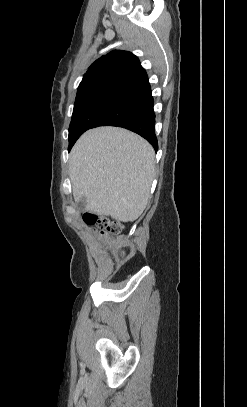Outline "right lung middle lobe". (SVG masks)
Listing matches in <instances>:
<instances>
[{
    "instance_id": "right-lung-middle-lobe-1",
    "label": "right lung middle lobe",
    "mask_w": 247,
    "mask_h": 407,
    "mask_svg": "<svg viewBox=\"0 0 247 407\" xmlns=\"http://www.w3.org/2000/svg\"><path fill=\"white\" fill-rule=\"evenodd\" d=\"M137 93L127 88H110L76 100L69 127V150L81 134Z\"/></svg>"
}]
</instances>
